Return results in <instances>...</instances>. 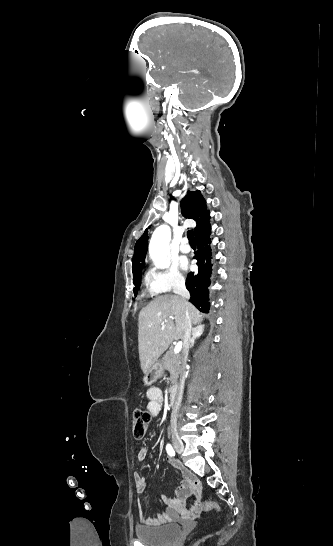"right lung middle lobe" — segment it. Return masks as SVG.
I'll return each instance as SVG.
<instances>
[{"label":"right lung middle lobe","mask_w":333,"mask_h":546,"mask_svg":"<svg viewBox=\"0 0 333 546\" xmlns=\"http://www.w3.org/2000/svg\"><path fill=\"white\" fill-rule=\"evenodd\" d=\"M140 282H141V281H140V276H139V275L135 276L134 279H133V283H134V285H135V288L133 289V291H134V294H135V295H136V293H137V290H138V287H139V285H140Z\"/></svg>","instance_id":"obj_1"}]
</instances>
